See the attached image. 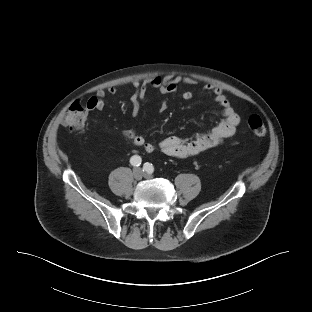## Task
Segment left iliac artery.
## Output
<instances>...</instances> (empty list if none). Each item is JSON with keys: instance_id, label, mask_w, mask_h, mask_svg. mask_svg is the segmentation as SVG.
Listing matches in <instances>:
<instances>
[{"instance_id": "1", "label": "left iliac artery", "mask_w": 312, "mask_h": 312, "mask_svg": "<svg viewBox=\"0 0 312 312\" xmlns=\"http://www.w3.org/2000/svg\"><path fill=\"white\" fill-rule=\"evenodd\" d=\"M143 171H146L148 174H151L154 171V167L151 163L146 162L143 166Z\"/></svg>"}]
</instances>
